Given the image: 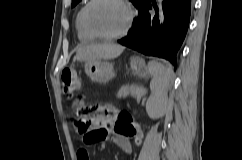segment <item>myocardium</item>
<instances>
[{
  "label": "myocardium",
  "mask_w": 242,
  "mask_h": 160,
  "mask_svg": "<svg viewBox=\"0 0 242 160\" xmlns=\"http://www.w3.org/2000/svg\"><path fill=\"white\" fill-rule=\"evenodd\" d=\"M97 1L98 0H89V2L83 8L82 24H83V27L86 30V32L93 38L101 39V40H109V41L117 40V39H120V38L126 36L132 29V26H133V23L135 20V10L133 9L130 2L128 0H118V2H120L126 8V10L128 12V20H127V24L124 27V29L116 34H99V33L94 32L91 29V27L88 24V20H87V14H88L89 8Z\"/></svg>",
  "instance_id": "myocardium-1"
}]
</instances>
